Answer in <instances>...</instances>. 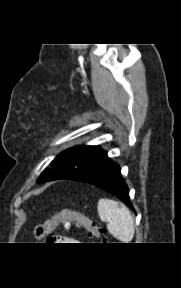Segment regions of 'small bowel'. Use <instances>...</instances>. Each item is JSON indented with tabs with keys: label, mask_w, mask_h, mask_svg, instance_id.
Returning a JSON list of instances; mask_svg holds the SVG:
<instances>
[{
	"label": "small bowel",
	"mask_w": 181,
	"mask_h": 288,
	"mask_svg": "<svg viewBox=\"0 0 181 288\" xmlns=\"http://www.w3.org/2000/svg\"><path fill=\"white\" fill-rule=\"evenodd\" d=\"M55 241L57 243H78V241L74 238L67 237V236H61V235L57 236L55 238Z\"/></svg>",
	"instance_id": "small-bowel-1"
}]
</instances>
